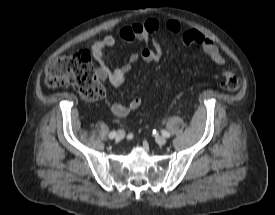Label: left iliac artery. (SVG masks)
<instances>
[{"label":"left iliac artery","instance_id":"1","mask_svg":"<svg viewBox=\"0 0 275 215\" xmlns=\"http://www.w3.org/2000/svg\"><path fill=\"white\" fill-rule=\"evenodd\" d=\"M162 135L166 138H169L170 137V133L166 130H162Z\"/></svg>","mask_w":275,"mask_h":215}]
</instances>
